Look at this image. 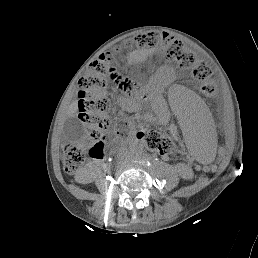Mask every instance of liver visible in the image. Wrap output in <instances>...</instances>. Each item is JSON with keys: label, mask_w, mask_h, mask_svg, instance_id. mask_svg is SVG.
Listing matches in <instances>:
<instances>
[{"label": "liver", "mask_w": 258, "mask_h": 258, "mask_svg": "<svg viewBox=\"0 0 258 258\" xmlns=\"http://www.w3.org/2000/svg\"><path fill=\"white\" fill-rule=\"evenodd\" d=\"M76 111H77V105L75 104L73 107V113H76Z\"/></svg>", "instance_id": "obj_1"}]
</instances>
